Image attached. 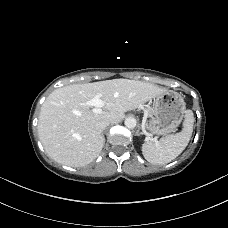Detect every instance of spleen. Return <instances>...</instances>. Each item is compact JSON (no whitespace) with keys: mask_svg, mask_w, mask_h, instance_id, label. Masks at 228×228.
<instances>
[{"mask_svg":"<svg viewBox=\"0 0 228 228\" xmlns=\"http://www.w3.org/2000/svg\"><path fill=\"white\" fill-rule=\"evenodd\" d=\"M193 113L191 110L185 111V121L183 130L177 134L168 135L159 141H147L142 145L144 158L156 165H163L174 160L189 143L193 131Z\"/></svg>","mask_w":228,"mask_h":228,"instance_id":"obj_1","label":"spleen"}]
</instances>
